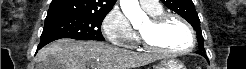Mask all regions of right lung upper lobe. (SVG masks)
Masks as SVG:
<instances>
[{
  "instance_id": "cb5924a9",
  "label": "right lung upper lobe",
  "mask_w": 246,
  "mask_h": 69,
  "mask_svg": "<svg viewBox=\"0 0 246 69\" xmlns=\"http://www.w3.org/2000/svg\"><path fill=\"white\" fill-rule=\"evenodd\" d=\"M116 0H53L46 18L63 15H107Z\"/></svg>"
}]
</instances>
